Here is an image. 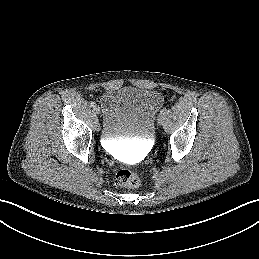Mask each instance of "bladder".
Here are the masks:
<instances>
[{
    "label": "bladder",
    "instance_id": "1",
    "mask_svg": "<svg viewBox=\"0 0 259 259\" xmlns=\"http://www.w3.org/2000/svg\"><path fill=\"white\" fill-rule=\"evenodd\" d=\"M161 102V95L152 89L124 87L107 92L102 97L103 139L151 141Z\"/></svg>",
    "mask_w": 259,
    "mask_h": 259
}]
</instances>
